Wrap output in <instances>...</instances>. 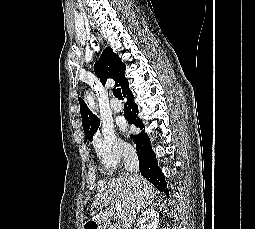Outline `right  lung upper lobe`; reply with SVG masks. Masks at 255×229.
<instances>
[{
	"label": "right lung upper lobe",
	"mask_w": 255,
	"mask_h": 229,
	"mask_svg": "<svg viewBox=\"0 0 255 229\" xmlns=\"http://www.w3.org/2000/svg\"><path fill=\"white\" fill-rule=\"evenodd\" d=\"M125 69V64L122 63L118 54L114 53L110 47H107L103 51L100 60L94 65V71L100 78L102 84H105L108 78H112L116 82L115 86H120L122 91L128 84L124 76ZM79 104L83 130L86 137L89 139L93 137L94 132L98 129L100 121L99 118L89 110L81 98H79Z\"/></svg>",
	"instance_id": "cb5924a9"
}]
</instances>
